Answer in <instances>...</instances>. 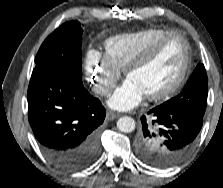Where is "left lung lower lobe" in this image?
Returning <instances> with one entry per match:
<instances>
[{
	"label": "left lung lower lobe",
	"mask_w": 223,
	"mask_h": 188,
	"mask_svg": "<svg viewBox=\"0 0 223 188\" xmlns=\"http://www.w3.org/2000/svg\"><path fill=\"white\" fill-rule=\"evenodd\" d=\"M148 114H151L150 122L145 116L141 118L142 128L136 141L138 156L156 167L177 164L191 151L203 119L189 114L168 113L159 106ZM155 146H159V152Z\"/></svg>",
	"instance_id": "obj_1"
}]
</instances>
